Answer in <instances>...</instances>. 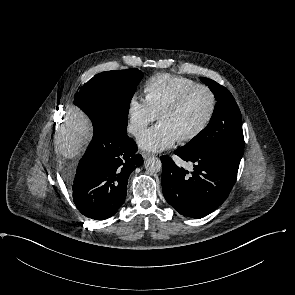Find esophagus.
Listing matches in <instances>:
<instances>
[{
  "label": "esophagus",
  "mask_w": 295,
  "mask_h": 295,
  "mask_svg": "<svg viewBox=\"0 0 295 295\" xmlns=\"http://www.w3.org/2000/svg\"><path fill=\"white\" fill-rule=\"evenodd\" d=\"M141 155H142V157H143L144 159H146V158L152 156L153 154H152V153H149V152H142Z\"/></svg>",
  "instance_id": "esophagus-1"
}]
</instances>
